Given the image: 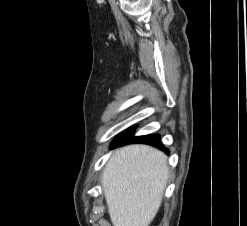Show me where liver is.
<instances>
[{"label": "liver", "instance_id": "liver-1", "mask_svg": "<svg viewBox=\"0 0 247 226\" xmlns=\"http://www.w3.org/2000/svg\"><path fill=\"white\" fill-rule=\"evenodd\" d=\"M169 178L167 157L147 145L118 149L106 164L101 183L114 226H149Z\"/></svg>", "mask_w": 247, "mask_h": 226}]
</instances>
